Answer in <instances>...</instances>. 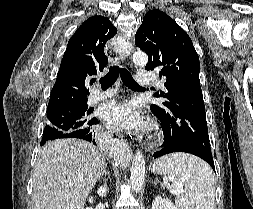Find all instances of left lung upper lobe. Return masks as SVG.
<instances>
[{
    "label": "left lung upper lobe",
    "instance_id": "5c2ea615",
    "mask_svg": "<svg viewBox=\"0 0 253 209\" xmlns=\"http://www.w3.org/2000/svg\"><path fill=\"white\" fill-rule=\"evenodd\" d=\"M135 44L148 54L146 70L158 69L166 81L163 98L150 106L160 120L164 141L211 152L199 79V57L188 34L164 12L153 9L143 18Z\"/></svg>",
    "mask_w": 253,
    "mask_h": 209
}]
</instances>
